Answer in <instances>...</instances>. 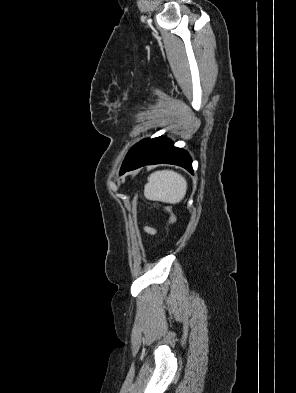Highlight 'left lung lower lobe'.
Segmentation results:
<instances>
[{
  "label": "left lung lower lobe",
  "instance_id": "obj_1",
  "mask_svg": "<svg viewBox=\"0 0 296 393\" xmlns=\"http://www.w3.org/2000/svg\"><path fill=\"white\" fill-rule=\"evenodd\" d=\"M158 163L176 164L193 173L189 154L181 148L174 147L172 141L164 137H157L144 139L136 144L120 174L144 165Z\"/></svg>",
  "mask_w": 296,
  "mask_h": 393
}]
</instances>
